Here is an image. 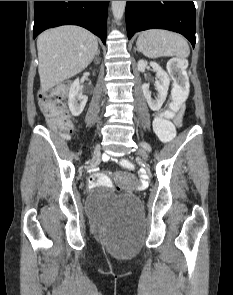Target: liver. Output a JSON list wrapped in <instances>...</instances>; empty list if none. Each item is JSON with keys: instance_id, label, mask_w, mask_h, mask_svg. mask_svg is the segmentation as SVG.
<instances>
[{"instance_id": "6515ba94", "label": "liver", "mask_w": 233, "mask_h": 295, "mask_svg": "<svg viewBox=\"0 0 233 295\" xmlns=\"http://www.w3.org/2000/svg\"><path fill=\"white\" fill-rule=\"evenodd\" d=\"M41 90L48 91L83 71L98 51V41L88 30L73 25L44 31L37 39Z\"/></svg>"}]
</instances>
